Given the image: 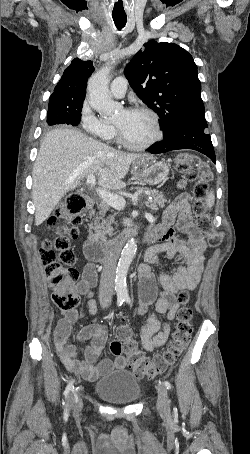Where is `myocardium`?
I'll return each mask as SVG.
<instances>
[{"instance_id":"obj_1","label":"myocardium","mask_w":250,"mask_h":454,"mask_svg":"<svg viewBox=\"0 0 250 454\" xmlns=\"http://www.w3.org/2000/svg\"><path fill=\"white\" fill-rule=\"evenodd\" d=\"M126 111H137V112H143V113L148 114L153 121L155 132H154L153 137L150 140H148L147 142H145L143 144L137 145V144H133V143H130L129 141H127L126 138L124 137L121 129L116 124H114V131H115L116 138L122 146H124L127 149L134 150V151H143V150H147V149L151 148L152 146H154L157 142H159L162 139L163 131H162V127H161L160 118L154 110H152L151 108L146 107V106H133V107L127 108Z\"/></svg>"}]
</instances>
